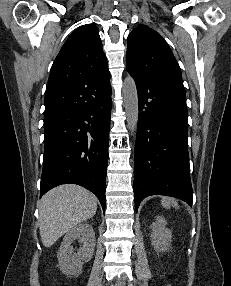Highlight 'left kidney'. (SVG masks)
Listing matches in <instances>:
<instances>
[{"instance_id": "left-kidney-1", "label": "left kidney", "mask_w": 231, "mask_h": 286, "mask_svg": "<svg viewBox=\"0 0 231 286\" xmlns=\"http://www.w3.org/2000/svg\"><path fill=\"white\" fill-rule=\"evenodd\" d=\"M167 221L164 217L157 216L155 221L151 224L152 245L157 251H165L169 248L172 232L166 228Z\"/></svg>"}]
</instances>
